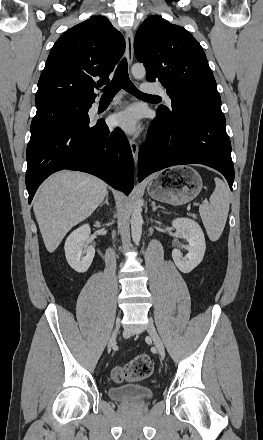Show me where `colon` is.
Wrapping results in <instances>:
<instances>
[{"instance_id":"1","label":"colon","mask_w":263,"mask_h":440,"mask_svg":"<svg viewBox=\"0 0 263 440\" xmlns=\"http://www.w3.org/2000/svg\"><path fill=\"white\" fill-rule=\"evenodd\" d=\"M153 371V361L149 355L141 354L129 362L116 367L112 378L116 382H139L148 378Z\"/></svg>"}]
</instances>
